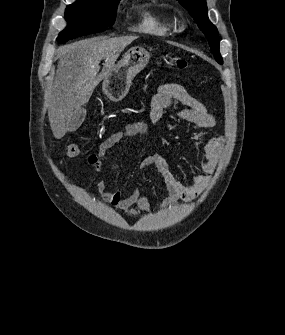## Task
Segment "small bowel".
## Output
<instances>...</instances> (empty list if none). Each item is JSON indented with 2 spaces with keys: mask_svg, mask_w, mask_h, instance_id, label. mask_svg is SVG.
Here are the masks:
<instances>
[{
  "mask_svg": "<svg viewBox=\"0 0 285 335\" xmlns=\"http://www.w3.org/2000/svg\"><path fill=\"white\" fill-rule=\"evenodd\" d=\"M166 111L174 112L185 123V127L180 129L176 125L166 122L164 120ZM149 115L154 124L161 125L170 132L181 130L187 133L191 130L211 128L215 125V119L207 107L181 85L174 82L164 83L157 88L151 99ZM149 133V128L144 122H130L121 131L106 139L101 144L99 152L90 156L88 162L93 170H97L108 161L110 150L114 146L123 140L136 136H147ZM223 144L224 141L221 137H213L204 145L202 159L199 162V169L203 174L192 177L189 182L181 181L175 177L167 160L161 154L145 157L140 162L141 169L155 167L164 179L168 196L162 202V209H169L179 201H191L202 193L215 171ZM95 186L102 200L118 210L129 215L149 211L150 200L138 189L125 195L121 189L109 191L103 181H97Z\"/></svg>",
  "mask_w": 285,
  "mask_h": 335,
  "instance_id": "c3829d8e",
  "label": "small bowel"
}]
</instances>
